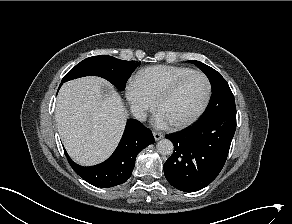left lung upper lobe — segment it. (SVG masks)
Instances as JSON below:
<instances>
[{
  "label": "left lung upper lobe",
  "mask_w": 292,
  "mask_h": 224,
  "mask_svg": "<svg viewBox=\"0 0 292 224\" xmlns=\"http://www.w3.org/2000/svg\"><path fill=\"white\" fill-rule=\"evenodd\" d=\"M190 62L194 63L207 75L212 87L210 103L199 120L206 119L222 111L236 109L233 93L221 74L200 61L190 60Z\"/></svg>",
  "instance_id": "obj_1"
}]
</instances>
